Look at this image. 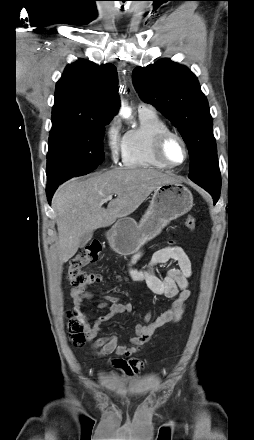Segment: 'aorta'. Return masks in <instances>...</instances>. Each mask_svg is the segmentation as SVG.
<instances>
[{"label": "aorta", "mask_w": 254, "mask_h": 440, "mask_svg": "<svg viewBox=\"0 0 254 440\" xmlns=\"http://www.w3.org/2000/svg\"><path fill=\"white\" fill-rule=\"evenodd\" d=\"M120 113H121L124 117H129L130 114H131V110H130L128 107H126V106L124 105V103H122V107H121V111H120Z\"/></svg>", "instance_id": "aorta-1"}]
</instances>
